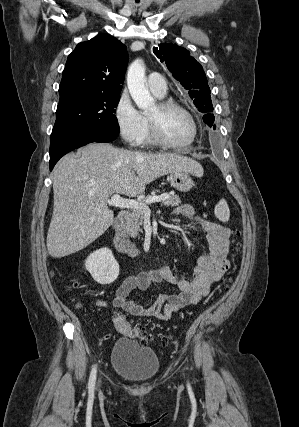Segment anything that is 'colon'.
I'll return each mask as SVG.
<instances>
[{
  "instance_id": "5ec220e1",
  "label": "colon",
  "mask_w": 299,
  "mask_h": 427,
  "mask_svg": "<svg viewBox=\"0 0 299 427\" xmlns=\"http://www.w3.org/2000/svg\"><path fill=\"white\" fill-rule=\"evenodd\" d=\"M229 288H230V281L226 284L225 291H228ZM113 321H114L115 329L119 333H122L124 335L130 336V337H133V338H137L142 343H146V342L149 341V336L146 333H144L141 330H139L136 326H134L132 324V322L129 321L122 314L115 313ZM165 343H166V340H163V344H165Z\"/></svg>"
}]
</instances>
